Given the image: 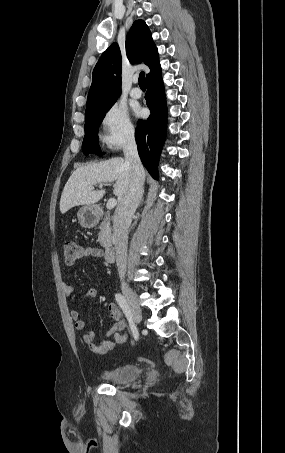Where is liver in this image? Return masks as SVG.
Masks as SVG:
<instances>
[{
  "label": "liver",
  "mask_w": 285,
  "mask_h": 453,
  "mask_svg": "<svg viewBox=\"0 0 285 453\" xmlns=\"http://www.w3.org/2000/svg\"><path fill=\"white\" fill-rule=\"evenodd\" d=\"M131 170L120 157L78 167L70 176L60 199V212L65 214L75 206L97 203L105 190H93L97 184L116 181L113 193L118 202L129 189Z\"/></svg>",
  "instance_id": "6515ba94"
}]
</instances>
